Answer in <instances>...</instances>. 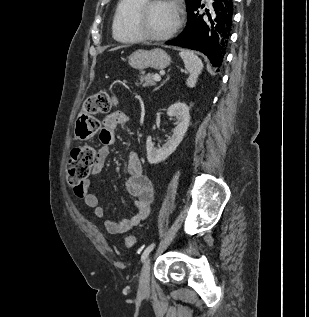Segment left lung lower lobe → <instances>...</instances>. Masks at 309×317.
<instances>
[{
    "label": "left lung lower lobe",
    "instance_id": "obj_1",
    "mask_svg": "<svg viewBox=\"0 0 309 317\" xmlns=\"http://www.w3.org/2000/svg\"><path fill=\"white\" fill-rule=\"evenodd\" d=\"M201 2L187 10L183 32L167 45L181 46L205 54L214 67H221L231 35L234 0H212L209 9L200 13ZM219 71V69H217Z\"/></svg>",
    "mask_w": 309,
    "mask_h": 317
}]
</instances>
